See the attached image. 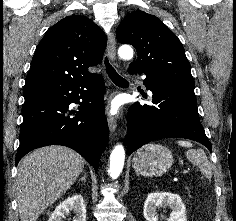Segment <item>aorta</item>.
Segmentation results:
<instances>
[{"label":"aorta","instance_id":"aorta-1","mask_svg":"<svg viewBox=\"0 0 236 221\" xmlns=\"http://www.w3.org/2000/svg\"><path fill=\"white\" fill-rule=\"evenodd\" d=\"M118 55L122 59H131L133 57V49L129 45H122L118 49ZM125 160V150L122 145H116L110 155L109 175L112 179H116L122 172Z\"/></svg>","mask_w":236,"mask_h":221}]
</instances>
